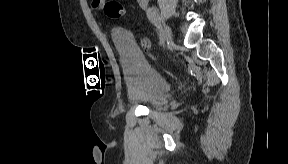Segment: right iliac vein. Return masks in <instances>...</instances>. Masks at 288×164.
<instances>
[{
	"instance_id": "obj_1",
	"label": "right iliac vein",
	"mask_w": 288,
	"mask_h": 164,
	"mask_svg": "<svg viewBox=\"0 0 288 164\" xmlns=\"http://www.w3.org/2000/svg\"><path fill=\"white\" fill-rule=\"evenodd\" d=\"M159 24L161 26V34L163 41H170L172 39L171 31L168 25L164 22L162 17H158Z\"/></svg>"
}]
</instances>
